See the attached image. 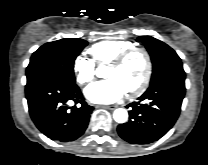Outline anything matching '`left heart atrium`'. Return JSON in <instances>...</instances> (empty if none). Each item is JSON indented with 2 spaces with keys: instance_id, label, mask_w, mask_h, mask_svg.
I'll return each mask as SVG.
<instances>
[{
  "instance_id": "obj_1",
  "label": "left heart atrium",
  "mask_w": 208,
  "mask_h": 165,
  "mask_svg": "<svg viewBox=\"0 0 208 165\" xmlns=\"http://www.w3.org/2000/svg\"><path fill=\"white\" fill-rule=\"evenodd\" d=\"M126 91L114 78L98 81L85 90L86 97L93 103L108 104L120 100Z\"/></svg>"
}]
</instances>
